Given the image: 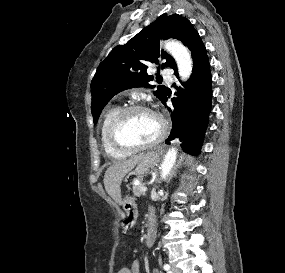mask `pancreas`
Segmentation results:
<instances>
[{"instance_id": "1", "label": "pancreas", "mask_w": 285, "mask_h": 273, "mask_svg": "<svg viewBox=\"0 0 285 273\" xmlns=\"http://www.w3.org/2000/svg\"><path fill=\"white\" fill-rule=\"evenodd\" d=\"M142 185H133V193L136 197H140L144 192L141 191Z\"/></svg>"}]
</instances>
